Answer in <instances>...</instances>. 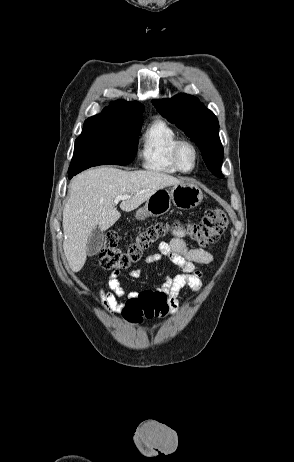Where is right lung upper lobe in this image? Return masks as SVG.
<instances>
[{
  "label": "right lung upper lobe",
  "instance_id": "1",
  "mask_svg": "<svg viewBox=\"0 0 294 462\" xmlns=\"http://www.w3.org/2000/svg\"><path fill=\"white\" fill-rule=\"evenodd\" d=\"M144 111V106L138 102H126L117 100L113 102L108 108L102 111V115H113L120 117H136L141 116Z\"/></svg>",
  "mask_w": 294,
  "mask_h": 462
}]
</instances>
